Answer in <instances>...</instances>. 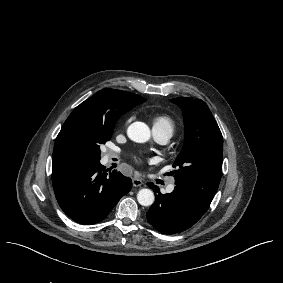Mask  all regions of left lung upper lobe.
Returning a JSON list of instances; mask_svg holds the SVG:
<instances>
[{"label": "left lung upper lobe", "instance_id": "5c2ea615", "mask_svg": "<svg viewBox=\"0 0 283 283\" xmlns=\"http://www.w3.org/2000/svg\"><path fill=\"white\" fill-rule=\"evenodd\" d=\"M183 110L185 142L172 172L176 187L210 204L222 174L223 138L206 103L200 99L174 98Z\"/></svg>", "mask_w": 283, "mask_h": 283}]
</instances>
